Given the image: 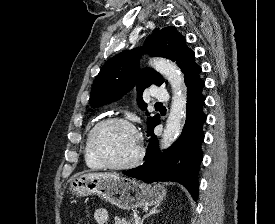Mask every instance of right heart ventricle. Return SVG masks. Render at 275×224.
<instances>
[{
  "instance_id": "obj_1",
  "label": "right heart ventricle",
  "mask_w": 275,
  "mask_h": 224,
  "mask_svg": "<svg viewBox=\"0 0 275 224\" xmlns=\"http://www.w3.org/2000/svg\"><path fill=\"white\" fill-rule=\"evenodd\" d=\"M93 127H91L86 134L85 140H84V146H83V152H84V160L86 163V166L89 169L92 170H100L104 168V166L94 157V155L91 152L90 145H89V135Z\"/></svg>"
}]
</instances>
